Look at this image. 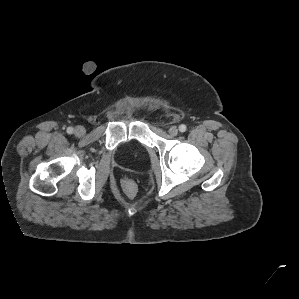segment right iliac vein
I'll list each match as a JSON object with an SVG mask.
<instances>
[{
  "instance_id": "1",
  "label": "right iliac vein",
  "mask_w": 299,
  "mask_h": 299,
  "mask_svg": "<svg viewBox=\"0 0 299 299\" xmlns=\"http://www.w3.org/2000/svg\"><path fill=\"white\" fill-rule=\"evenodd\" d=\"M86 133V130L83 126H77L74 130V134L77 136V137H82L84 136Z\"/></svg>"
}]
</instances>
